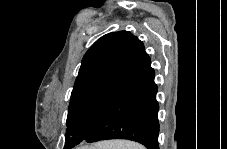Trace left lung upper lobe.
I'll return each mask as SVG.
<instances>
[{
	"label": "left lung upper lobe",
	"mask_w": 227,
	"mask_h": 149,
	"mask_svg": "<svg viewBox=\"0 0 227 149\" xmlns=\"http://www.w3.org/2000/svg\"><path fill=\"white\" fill-rule=\"evenodd\" d=\"M143 49L142 41L128 31L106 34L89 48L71 93L66 148L93 132L127 85Z\"/></svg>",
	"instance_id": "left-lung-upper-lobe-1"
}]
</instances>
